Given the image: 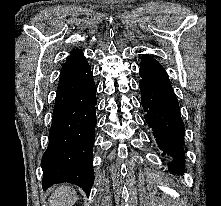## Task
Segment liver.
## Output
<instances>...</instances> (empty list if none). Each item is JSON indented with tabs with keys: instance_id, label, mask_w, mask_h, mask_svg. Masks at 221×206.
Wrapping results in <instances>:
<instances>
[{
	"instance_id": "6515ba94",
	"label": "liver",
	"mask_w": 221,
	"mask_h": 206,
	"mask_svg": "<svg viewBox=\"0 0 221 206\" xmlns=\"http://www.w3.org/2000/svg\"><path fill=\"white\" fill-rule=\"evenodd\" d=\"M78 200L75 190L69 185L57 187L49 199L50 206H73Z\"/></svg>"
}]
</instances>
